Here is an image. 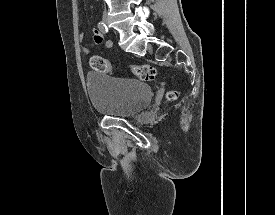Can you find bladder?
Instances as JSON below:
<instances>
[{"label": "bladder", "mask_w": 275, "mask_h": 215, "mask_svg": "<svg viewBox=\"0 0 275 215\" xmlns=\"http://www.w3.org/2000/svg\"><path fill=\"white\" fill-rule=\"evenodd\" d=\"M86 82L94 109L110 117L134 116L147 108L152 89L142 81L89 72Z\"/></svg>", "instance_id": "31cf9c89"}]
</instances>
